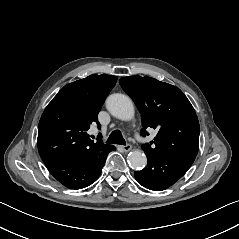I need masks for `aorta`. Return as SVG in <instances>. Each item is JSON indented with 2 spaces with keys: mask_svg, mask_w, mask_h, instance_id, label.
<instances>
[{
  "mask_svg": "<svg viewBox=\"0 0 239 239\" xmlns=\"http://www.w3.org/2000/svg\"><path fill=\"white\" fill-rule=\"evenodd\" d=\"M107 110L116 118L129 121L134 117V105L130 97L120 93H114L106 99ZM131 167L141 168L147 164V158L139 150L133 151L128 155Z\"/></svg>",
  "mask_w": 239,
  "mask_h": 239,
  "instance_id": "762f6f07",
  "label": "aorta"
}]
</instances>
